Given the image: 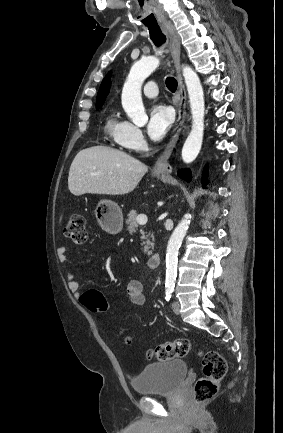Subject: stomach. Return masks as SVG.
Here are the masks:
<instances>
[{
	"mask_svg": "<svg viewBox=\"0 0 283 433\" xmlns=\"http://www.w3.org/2000/svg\"><path fill=\"white\" fill-rule=\"evenodd\" d=\"M156 176L165 178V172L159 170L155 172ZM95 214L98 223H102L111 235H117L123 229V214L120 206L113 200H100L95 208Z\"/></svg>",
	"mask_w": 283,
	"mask_h": 433,
	"instance_id": "0dacf381",
	"label": "stomach"
}]
</instances>
